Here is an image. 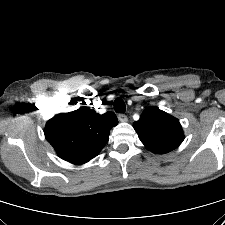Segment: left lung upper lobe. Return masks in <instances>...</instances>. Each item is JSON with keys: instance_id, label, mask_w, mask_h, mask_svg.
<instances>
[{"instance_id": "left-lung-upper-lobe-1", "label": "left lung upper lobe", "mask_w": 225, "mask_h": 225, "mask_svg": "<svg viewBox=\"0 0 225 225\" xmlns=\"http://www.w3.org/2000/svg\"><path fill=\"white\" fill-rule=\"evenodd\" d=\"M133 127L141 142L154 153L170 152L184 140L179 120L155 106L144 110Z\"/></svg>"}]
</instances>
